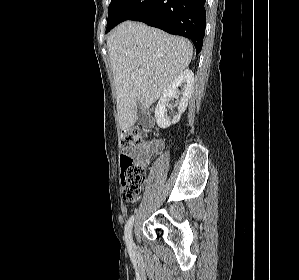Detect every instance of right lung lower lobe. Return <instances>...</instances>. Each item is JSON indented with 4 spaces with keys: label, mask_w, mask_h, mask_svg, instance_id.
<instances>
[{
    "label": "right lung lower lobe",
    "mask_w": 299,
    "mask_h": 280,
    "mask_svg": "<svg viewBox=\"0 0 299 280\" xmlns=\"http://www.w3.org/2000/svg\"><path fill=\"white\" fill-rule=\"evenodd\" d=\"M206 0H129L115 19L141 21L192 40L198 54L203 45Z\"/></svg>",
    "instance_id": "right-lung-lower-lobe-1"
}]
</instances>
